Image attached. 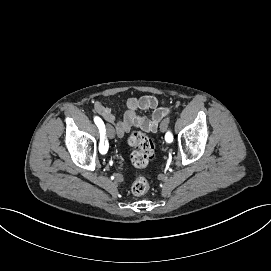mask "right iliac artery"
<instances>
[{
    "label": "right iliac artery",
    "mask_w": 271,
    "mask_h": 271,
    "mask_svg": "<svg viewBox=\"0 0 271 271\" xmlns=\"http://www.w3.org/2000/svg\"><path fill=\"white\" fill-rule=\"evenodd\" d=\"M94 122L98 126L99 131H100V139L102 140L104 153H109L111 146L108 145L109 140L107 138H105L106 137V129H105L104 122L98 116L94 117Z\"/></svg>",
    "instance_id": "right-iliac-artery-1"
}]
</instances>
